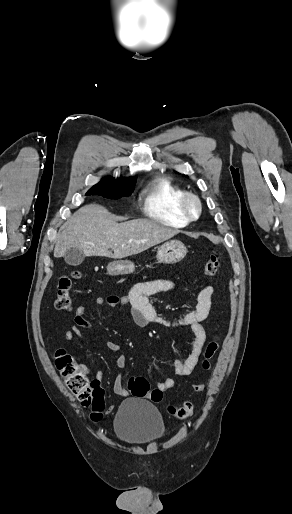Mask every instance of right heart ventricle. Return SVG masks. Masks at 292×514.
<instances>
[{"mask_svg":"<svg viewBox=\"0 0 292 514\" xmlns=\"http://www.w3.org/2000/svg\"><path fill=\"white\" fill-rule=\"evenodd\" d=\"M183 192L170 178L157 176L142 188L139 201L149 218L170 227L182 228L188 224V220L178 212L176 201Z\"/></svg>","mask_w":292,"mask_h":514,"instance_id":"right-heart-ventricle-1","label":"right heart ventricle"}]
</instances>
